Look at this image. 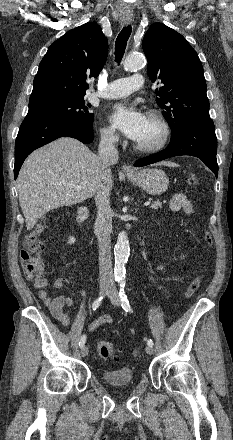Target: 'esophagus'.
Returning a JSON list of instances; mask_svg holds the SVG:
<instances>
[{
	"instance_id": "obj_1",
	"label": "esophagus",
	"mask_w": 233,
	"mask_h": 440,
	"mask_svg": "<svg viewBox=\"0 0 233 440\" xmlns=\"http://www.w3.org/2000/svg\"><path fill=\"white\" fill-rule=\"evenodd\" d=\"M131 21H132V18H131V17H124V18H123V22H124L125 24H129ZM122 171H123L124 173H134V172H135V170H134L130 165H127V164H124V165L122 166Z\"/></svg>"
}]
</instances>
